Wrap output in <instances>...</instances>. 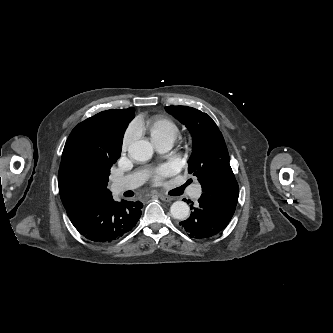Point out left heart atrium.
<instances>
[{
	"mask_svg": "<svg viewBox=\"0 0 333 333\" xmlns=\"http://www.w3.org/2000/svg\"><path fill=\"white\" fill-rule=\"evenodd\" d=\"M175 168L171 164H165L158 168L154 174V180L159 183L161 182L165 177L170 176L173 174Z\"/></svg>",
	"mask_w": 333,
	"mask_h": 333,
	"instance_id": "39dd6f15",
	"label": "left heart atrium"
}]
</instances>
